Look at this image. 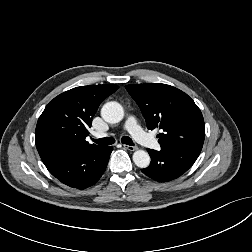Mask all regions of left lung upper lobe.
Wrapping results in <instances>:
<instances>
[{
  "label": "left lung upper lobe",
  "mask_w": 252,
  "mask_h": 252,
  "mask_svg": "<svg viewBox=\"0 0 252 252\" xmlns=\"http://www.w3.org/2000/svg\"><path fill=\"white\" fill-rule=\"evenodd\" d=\"M125 88L136 101L148 129H161V147L201 152L205 125L200 109L181 90L166 84H131Z\"/></svg>",
  "instance_id": "1"
}]
</instances>
